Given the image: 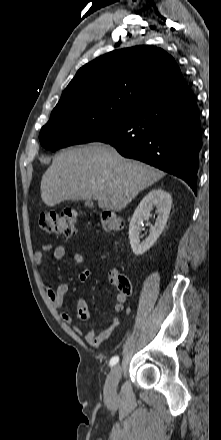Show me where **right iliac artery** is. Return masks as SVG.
Listing matches in <instances>:
<instances>
[{
    "instance_id": "right-iliac-artery-1",
    "label": "right iliac artery",
    "mask_w": 221,
    "mask_h": 440,
    "mask_svg": "<svg viewBox=\"0 0 221 440\" xmlns=\"http://www.w3.org/2000/svg\"><path fill=\"white\" fill-rule=\"evenodd\" d=\"M118 361H119V357L118 356L112 357L111 360H110V366H113V365L117 364Z\"/></svg>"
}]
</instances>
